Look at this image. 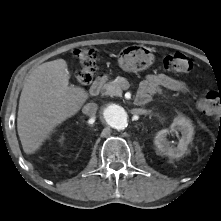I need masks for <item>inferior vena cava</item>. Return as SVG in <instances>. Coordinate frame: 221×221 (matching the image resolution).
I'll return each mask as SVG.
<instances>
[{"label":"inferior vena cava","instance_id":"inferior-vena-cava-1","mask_svg":"<svg viewBox=\"0 0 221 221\" xmlns=\"http://www.w3.org/2000/svg\"><path fill=\"white\" fill-rule=\"evenodd\" d=\"M97 109L98 105L96 103H88L83 107L82 112L83 114L92 117L96 114Z\"/></svg>","mask_w":221,"mask_h":221}]
</instances>
